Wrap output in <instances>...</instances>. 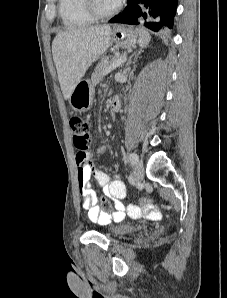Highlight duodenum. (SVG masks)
I'll return each instance as SVG.
<instances>
[{
    "instance_id": "1",
    "label": "duodenum",
    "mask_w": 227,
    "mask_h": 298,
    "mask_svg": "<svg viewBox=\"0 0 227 298\" xmlns=\"http://www.w3.org/2000/svg\"><path fill=\"white\" fill-rule=\"evenodd\" d=\"M110 105L113 111H118L121 106L120 98L119 97L112 98Z\"/></svg>"
}]
</instances>
